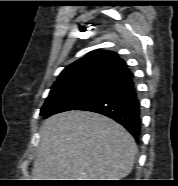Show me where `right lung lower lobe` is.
<instances>
[{
    "label": "right lung lower lobe",
    "instance_id": "obj_1",
    "mask_svg": "<svg viewBox=\"0 0 178 186\" xmlns=\"http://www.w3.org/2000/svg\"><path fill=\"white\" fill-rule=\"evenodd\" d=\"M77 110L105 115L123 125L136 140L141 134V106L133 75L116 81Z\"/></svg>",
    "mask_w": 178,
    "mask_h": 186
}]
</instances>
